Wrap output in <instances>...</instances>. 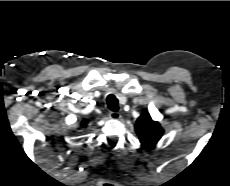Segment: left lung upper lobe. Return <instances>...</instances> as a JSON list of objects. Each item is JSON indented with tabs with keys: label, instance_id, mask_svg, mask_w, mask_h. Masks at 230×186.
<instances>
[{
	"label": "left lung upper lobe",
	"instance_id": "left-lung-upper-lobe-1",
	"mask_svg": "<svg viewBox=\"0 0 230 186\" xmlns=\"http://www.w3.org/2000/svg\"><path fill=\"white\" fill-rule=\"evenodd\" d=\"M140 141L145 146L155 145L163 134V129L157 121H153L148 112L138 118L135 125Z\"/></svg>",
	"mask_w": 230,
	"mask_h": 186
}]
</instances>
